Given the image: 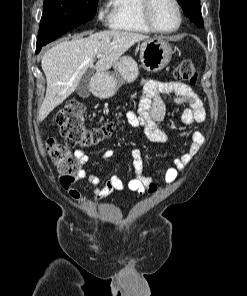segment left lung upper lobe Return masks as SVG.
<instances>
[{
    "label": "left lung upper lobe",
    "mask_w": 247,
    "mask_h": 296,
    "mask_svg": "<svg viewBox=\"0 0 247 296\" xmlns=\"http://www.w3.org/2000/svg\"><path fill=\"white\" fill-rule=\"evenodd\" d=\"M184 13L198 27H203L204 23L201 16L200 0H178Z\"/></svg>",
    "instance_id": "5c2ea615"
}]
</instances>
